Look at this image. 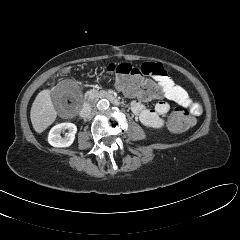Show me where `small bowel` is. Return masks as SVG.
<instances>
[{"label":"small bowel","instance_id":"obj_1","mask_svg":"<svg viewBox=\"0 0 240 240\" xmlns=\"http://www.w3.org/2000/svg\"><path fill=\"white\" fill-rule=\"evenodd\" d=\"M140 69L144 75L152 77L161 86L165 99L188 109L194 116H199L202 113V105L192 99L183 87L173 81L164 65L146 62L140 66ZM130 106L132 112L144 125L155 129L164 126L163 116L170 110V105L166 100L158 101L154 108H149L137 100L132 101Z\"/></svg>","mask_w":240,"mask_h":240}]
</instances>
